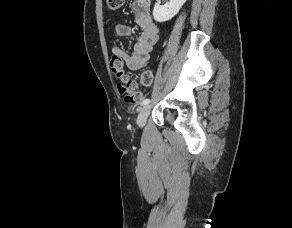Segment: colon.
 <instances>
[{"instance_id":"5ec220e1","label":"colon","mask_w":292,"mask_h":228,"mask_svg":"<svg viewBox=\"0 0 292 228\" xmlns=\"http://www.w3.org/2000/svg\"><path fill=\"white\" fill-rule=\"evenodd\" d=\"M124 4V0H106L107 8L110 11L119 10ZM111 69L119 79L117 88L123 95L125 102L129 104H138L142 100L140 87H148L151 85L153 76L151 71L145 70L141 73L139 80L131 79L125 72L122 63L119 60L112 59L110 61Z\"/></svg>"}]
</instances>
